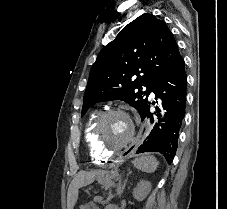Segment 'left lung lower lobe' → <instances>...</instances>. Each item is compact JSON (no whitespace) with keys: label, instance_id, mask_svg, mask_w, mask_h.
Instances as JSON below:
<instances>
[{"label":"left lung lower lobe","instance_id":"1","mask_svg":"<svg viewBox=\"0 0 227 209\" xmlns=\"http://www.w3.org/2000/svg\"><path fill=\"white\" fill-rule=\"evenodd\" d=\"M187 76L184 69V60L181 55L174 64L165 72L154 90L156 97L162 99V106L166 113L161 119L159 110L157 116L159 123L156 124L147 140L140 145L136 152L157 151L164 154L168 163H171L177 149V140L181 122L185 116ZM157 100V98H156ZM148 102L146 108L140 114L141 119L150 117L153 122V114L150 112Z\"/></svg>","mask_w":227,"mask_h":209}]
</instances>
